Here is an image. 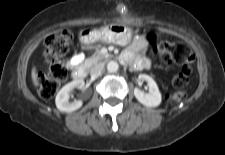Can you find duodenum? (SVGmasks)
I'll return each mask as SVG.
<instances>
[{"label":"duodenum","instance_id":"duodenum-1","mask_svg":"<svg viewBox=\"0 0 225 155\" xmlns=\"http://www.w3.org/2000/svg\"><path fill=\"white\" fill-rule=\"evenodd\" d=\"M87 76V71L84 68H77L73 71V78L75 81H81Z\"/></svg>","mask_w":225,"mask_h":155}]
</instances>
